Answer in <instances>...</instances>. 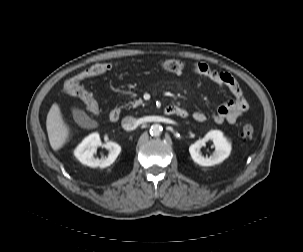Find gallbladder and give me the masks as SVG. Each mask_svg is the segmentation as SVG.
Listing matches in <instances>:
<instances>
[{"label":"gallbladder","instance_id":"gallbladder-1","mask_svg":"<svg viewBox=\"0 0 303 252\" xmlns=\"http://www.w3.org/2000/svg\"><path fill=\"white\" fill-rule=\"evenodd\" d=\"M72 116L74 121L81 127H88L92 120L90 117L86 114V112L78 107H72L71 109Z\"/></svg>","mask_w":303,"mask_h":252}]
</instances>
